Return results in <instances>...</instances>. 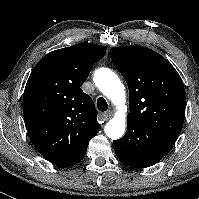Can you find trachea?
<instances>
[{
	"label": "trachea",
	"mask_w": 199,
	"mask_h": 199,
	"mask_svg": "<svg viewBox=\"0 0 199 199\" xmlns=\"http://www.w3.org/2000/svg\"><path fill=\"white\" fill-rule=\"evenodd\" d=\"M97 108L100 111H106L108 109V104L103 97H99L97 100Z\"/></svg>",
	"instance_id": "3493384b"
}]
</instances>
